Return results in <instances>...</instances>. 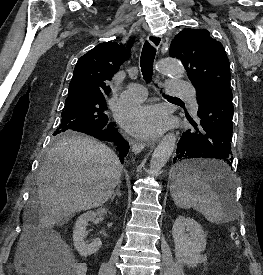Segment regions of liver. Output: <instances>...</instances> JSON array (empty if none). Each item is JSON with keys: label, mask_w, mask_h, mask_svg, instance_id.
<instances>
[{"label": "liver", "mask_w": 263, "mask_h": 275, "mask_svg": "<svg viewBox=\"0 0 263 275\" xmlns=\"http://www.w3.org/2000/svg\"><path fill=\"white\" fill-rule=\"evenodd\" d=\"M117 155L94 139L68 135L52 147L37 177L39 220L52 227L75 213L102 206L121 177Z\"/></svg>", "instance_id": "obj_1"}]
</instances>
